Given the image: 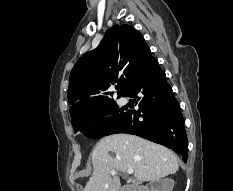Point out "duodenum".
<instances>
[{
	"label": "duodenum",
	"instance_id": "1",
	"mask_svg": "<svg viewBox=\"0 0 233 191\" xmlns=\"http://www.w3.org/2000/svg\"><path fill=\"white\" fill-rule=\"evenodd\" d=\"M123 191H142V189L138 186L132 185L126 187Z\"/></svg>",
	"mask_w": 233,
	"mask_h": 191
}]
</instances>
